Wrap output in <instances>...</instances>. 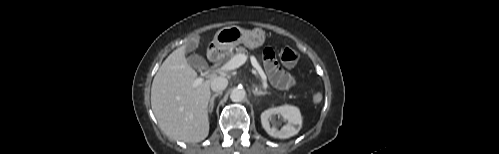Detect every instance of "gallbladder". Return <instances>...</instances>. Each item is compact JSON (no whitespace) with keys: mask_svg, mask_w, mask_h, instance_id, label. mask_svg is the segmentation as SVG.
<instances>
[{"mask_svg":"<svg viewBox=\"0 0 499 154\" xmlns=\"http://www.w3.org/2000/svg\"><path fill=\"white\" fill-rule=\"evenodd\" d=\"M198 46V42L196 40H190L187 42L186 44V50L187 51H193L194 49H196ZM187 61H188V64L192 67V68H195V69H200V68H204L206 66V61L204 60L203 57L199 56L198 54H191L188 58H187Z\"/></svg>","mask_w":499,"mask_h":154,"instance_id":"bac80fb5","label":"gallbladder"}]
</instances>
